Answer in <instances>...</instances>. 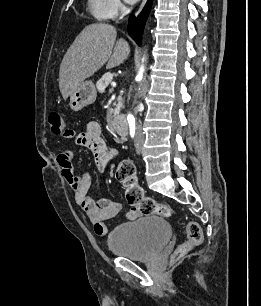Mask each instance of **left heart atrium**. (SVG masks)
Listing matches in <instances>:
<instances>
[{"mask_svg": "<svg viewBox=\"0 0 261 306\" xmlns=\"http://www.w3.org/2000/svg\"><path fill=\"white\" fill-rule=\"evenodd\" d=\"M126 2H128V3H135V2H137L138 0H125Z\"/></svg>", "mask_w": 261, "mask_h": 306, "instance_id": "obj_1", "label": "left heart atrium"}]
</instances>
